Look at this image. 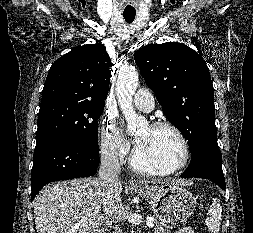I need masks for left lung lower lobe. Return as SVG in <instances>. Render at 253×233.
I'll list each match as a JSON object with an SVG mask.
<instances>
[{
	"label": "left lung lower lobe",
	"mask_w": 253,
	"mask_h": 233,
	"mask_svg": "<svg viewBox=\"0 0 253 233\" xmlns=\"http://www.w3.org/2000/svg\"><path fill=\"white\" fill-rule=\"evenodd\" d=\"M182 178L209 179L225 190V178L222 171V155L219 148L202 147L191 156V162Z\"/></svg>",
	"instance_id": "obj_1"
}]
</instances>
